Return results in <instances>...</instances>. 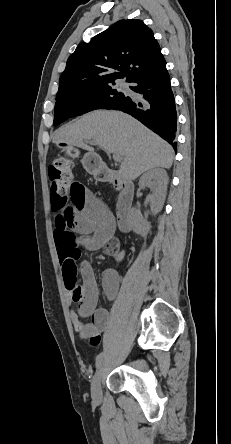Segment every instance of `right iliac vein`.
I'll use <instances>...</instances> for the list:
<instances>
[{"instance_id": "1", "label": "right iliac vein", "mask_w": 231, "mask_h": 444, "mask_svg": "<svg viewBox=\"0 0 231 444\" xmlns=\"http://www.w3.org/2000/svg\"><path fill=\"white\" fill-rule=\"evenodd\" d=\"M104 371V361H101L91 381V395L95 402L102 400L101 379Z\"/></svg>"}]
</instances>
